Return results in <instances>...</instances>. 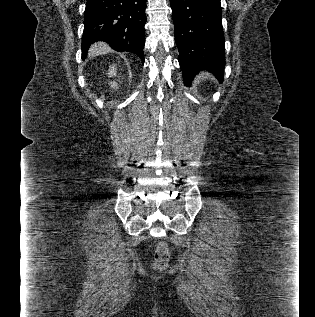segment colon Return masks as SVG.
Masks as SVG:
<instances>
[{
  "label": "colon",
  "mask_w": 315,
  "mask_h": 317,
  "mask_svg": "<svg viewBox=\"0 0 315 317\" xmlns=\"http://www.w3.org/2000/svg\"><path fill=\"white\" fill-rule=\"evenodd\" d=\"M170 259V251L166 243H160L154 254V267L157 270H163L167 267Z\"/></svg>",
  "instance_id": "1"
}]
</instances>
